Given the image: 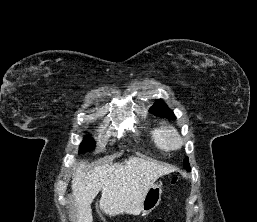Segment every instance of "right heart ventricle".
Segmentation results:
<instances>
[{"instance_id": "obj_1", "label": "right heart ventricle", "mask_w": 257, "mask_h": 222, "mask_svg": "<svg viewBox=\"0 0 257 222\" xmlns=\"http://www.w3.org/2000/svg\"><path fill=\"white\" fill-rule=\"evenodd\" d=\"M163 127L160 125H152L147 130V135L150 142L161 151H167L168 147L165 145L162 136Z\"/></svg>"}]
</instances>
